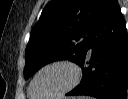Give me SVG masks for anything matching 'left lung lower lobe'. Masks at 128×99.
<instances>
[{
  "mask_svg": "<svg viewBox=\"0 0 128 99\" xmlns=\"http://www.w3.org/2000/svg\"><path fill=\"white\" fill-rule=\"evenodd\" d=\"M77 64L83 69V77L67 95L127 99L128 35L117 0L107 1L91 33L88 49Z\"/></svg>",
  "mask_w": 128,
  "mask_h": 99,
  "instance_id": "left-lung-lower-lobe-1",
  "label": "left lung lower lobe"
}]
</instances>
